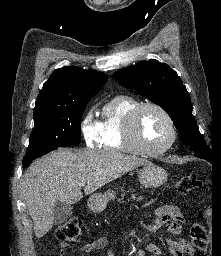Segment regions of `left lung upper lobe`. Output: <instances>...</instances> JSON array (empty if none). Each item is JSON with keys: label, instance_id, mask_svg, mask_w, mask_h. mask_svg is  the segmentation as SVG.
Listing matches in <instances>:
<instances>
[{"label": "left lung upper lobe", "instance_id": "1", "mask_svg": "<svg viewBox=\"0 0 221 256\" xmlns=\"http://www.w3.org/2000/svg\"><path fill=\"white\" fill-rule=\"evenodd\" d=\"M114 77L122 86L136 90L162 107L181 133L182 142L188 145L196 156L211 160V149L205 143L192 115L189 93L173 69L167 64L151 59L118 70Z\"/></svg>", "mask_w": 221, "mask_h": 256}]
</instances>
